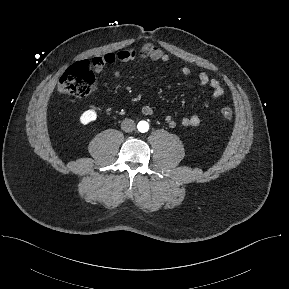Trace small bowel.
Wrapping results in <instances>:
<instances>
[{"label":"small bowel","instance_id":"obj_1","mask_svg":"<svg viewBox=\"0 0 289 289\" xmlns=\"http://www.w3.org/2000/svg\"><path fill=\"white\" fill-rule=\"evenodd\" d=\"M148 58L154 61L168 62L169 56L161 48L153 43H145L141 46L139 50L136 49H125L115 52L107 53L103 56L95 57L92 60L93 70L96 73H100L106 65L115 64L118 62H129L136 59ZM181 73L184 76H189L191 70L188 67H182ZM120 72L117 70L114 72V77L118 78ZM198 81L202 86L209 87L212 90L213 98H220L224 95V88L217 79L210 78L205 72L198 74ZM210 102L204 104V108H208ZM143 115L152 116L156 113V109L150 105H144L141 109ZM165 122L169 127L174 128L177 126V121L172 115L165 116ZM202 123V118L199 114H194L188 117H184L181 120V125L184 127H196Z\"/></svg>","mask_w":289,"mask_h":289}]
</instances>
